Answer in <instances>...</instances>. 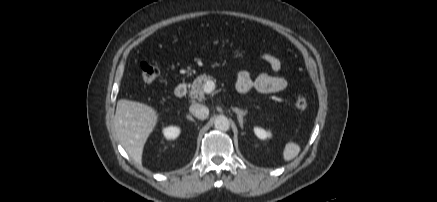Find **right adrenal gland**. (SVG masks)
<instances>
[{"label": "right adrenal gland", "instance_id": "2a0ac1e0", "mask_svg": "<svg viewBox=\"0 0 437 202\" xmlns=\"http://www.w3.org/2000/svg\"><path fill=\"white\" fill-rule=\"evenodd\" d=\"M187 119H188L189 121L195 122L194 118H193L191 115H187Z\"/></svg>", "mask_w": 437, "mask_h": 202}]
</instances>
